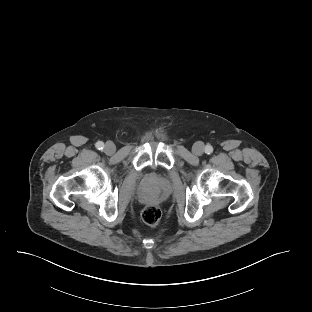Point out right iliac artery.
Returning a JSON list of instances; mask_svg holds the SVG:
<instances>
[{
  "label": "right iliac artery",
  "instance_id": "obj_1",
  "mask_svg": "<svg viewBox=\"0 0 312 312\" xmlns=\"http://www.w3.org/2000/svg\"><path fill=\"white\" fill-rule=\"evenodd\" d=\"M96 148H97L98 150H102V149L104 148V143L101 142V141L97 142V143H96Z\"/></svg>",
  "mask_w": 312,
  "mask_h": 312
}]
</instances>
